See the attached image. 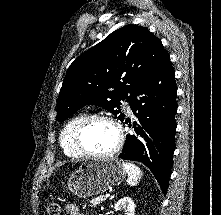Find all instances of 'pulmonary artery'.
Here are the masks:
<instances>
[{
    "mask_svg": "<svg viewBox=\"0 0 221 215\" xmlns=\"http://www.w3.org/2000/svg\"><path fill=\"white\" fill-rule=\"evenodd\" d=\"M126 104H127V109H128V111H130L131 108H130L129 104H128V103H126Z\"/></svg>",
    "mask_w": 221,
    "mask_h": 215,
    "instance_id": "e3ab8cb5",
    "label": "pulmonary artery"
}]
</instances>
